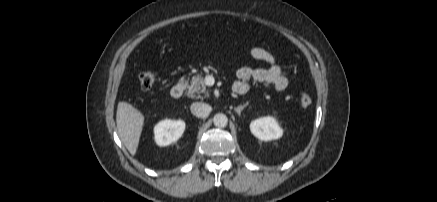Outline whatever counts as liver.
<instances>
[{
  "instance_id": "obj_1",
  "label": "liver",
  "mask_w": 437,
  "mask_h": 202,
  "mask_svg": "<svg viewBox=\"0 0 437 202\" xmlns=\"http://www.w3.org/2000/svg\"><path fill=\"white\" fill-rule=\"evenodd\" d=\"M118 135L130 152L135 155L144 125V115L133 105L119 102L116 113Z\"/></svg>"
}]
</instances>
